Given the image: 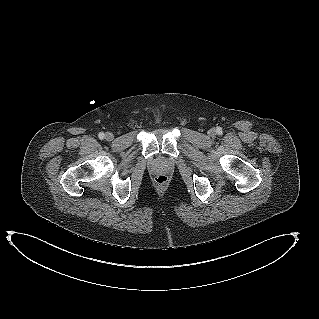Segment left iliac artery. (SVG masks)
Instances as JSON below:
<instances>
[{
    "instance_id": "obj_1",
    "label": "left iliac artery",
    "mask_w": 319,
    "mask_h": 319,
    "mask_svg": "<svg viewBox=\"0 0 319 319\" xmlns=\"http://www.w3.org/2000/svg\"><path fill=\"white\" fill-rule=\"evenodd\" d=\"M217 132L220 134L222 132L221 128H218Z\"/></svg>"
}]
</instances>
